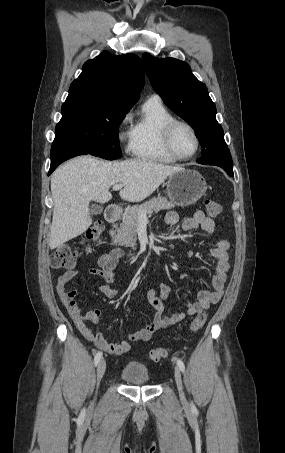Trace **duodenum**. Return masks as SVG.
<instances>
[{"mask_svg": "<svg viewBox=\"0 0 285 453\" xmlns=\"http://www.w3.org/2000/svg\"><path fill=\"white\" fill-rule=\"evenodd\" d=\"M121 211L116 206H109L105 211V219L108 223L115 224L118 222Z\"/></svg>", "mask_w": 285, "mask_h": 453, "instance_id": "1", "label": "duodenum"}]
</instances>
